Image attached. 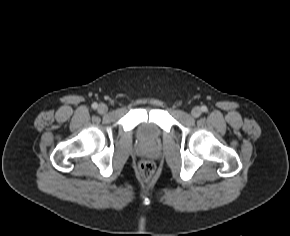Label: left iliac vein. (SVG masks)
<instances>
[{
  "label": "left iliac vein",
  "instance_id": "1",
  "mask_svg": "<svg viewBox=\"0 0 290 236\" xmlns=\"http://www.w3.org/2000/svg\"><path fill=\"white\" fill-rule=\"evenodd\" d=\"M202 111L199 107H194L191 111V114L193 117H199L201 115Z\"/></svg>",
  "mask_w": 290,
  "mask_h": 236
}]
</instances>
